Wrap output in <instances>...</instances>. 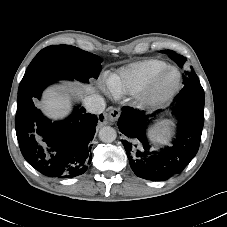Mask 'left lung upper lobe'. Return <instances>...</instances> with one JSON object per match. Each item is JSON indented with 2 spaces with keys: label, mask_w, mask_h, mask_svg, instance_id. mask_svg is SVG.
<instances>
[{
  "label": "left lung upper lobe",
  "mask_w": 227,
  "mask_h": 227,
  "mask_svg": "<svg viewBox=\"0 0 227 227\" xmlns=\"http://www.w3.org/2000/svg\"><path fill=\"white\" fill-rule=\"evenodd\" d=\"M162 53L169 54V57L177 63L179 67L186 66V58L182 55L176 54L172 50H164ZM184 88L176 96L178 99H185L189 97L204 99V90L200 84L198 76L191 68L183 74Z\"/></svg>",
  "instance_id": "5c2ea615"
}]
</instances>
